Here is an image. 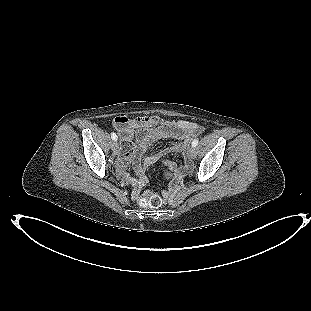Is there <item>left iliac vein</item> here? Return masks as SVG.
Masks as SVG:
<instances>
[{
	"mask_svg": "<svg viewBox=\"0 0 311 311\" xmlns=\"http://www.w3.org/2000/svg\"><path fill=\"white\" fill-rule=\"evenodd\" d=\"M188 153H189V156L194 159L196 157V148L195 147H190L189 150H188Z\"/></svg>",
	"mask_w": 311,
	"mask_h": 311,
	"instance_id": "obj_1",
	"label": "left iliac vein"
}]
</instances>
